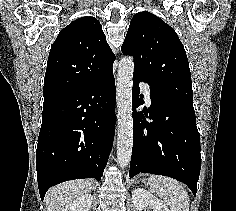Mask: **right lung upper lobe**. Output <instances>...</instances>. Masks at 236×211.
I'll use <instances>...</instances> for the list:
<instances>
[{
  "instance_id": "right-lung-upper-lobe-1",
  "label": "right lung upper lobe",
  "mask_w": 236,
  "mask_h": 211,
  "mask_svg": "<svg viewBox=\"0 0 236 211\" xmlns=\"http://www.w3.org/2000/svg\"><path fill=\"white\" fill-rule=\"evenodd\" d=\"M114 60L115 55L96 18L73 21L60 31L50 49L44 97L93 85L112 72Z\"/></svg>"
}]
</instances>
